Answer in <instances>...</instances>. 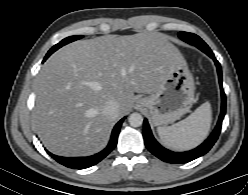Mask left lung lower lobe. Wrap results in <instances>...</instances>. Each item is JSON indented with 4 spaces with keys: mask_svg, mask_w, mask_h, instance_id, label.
Returning a JSON list of instances; mask_svg holds the SVG:
<instances>
[{
    "mask_svg": "<svg viewBox=\"0 0 248 195\" xmlns=\"http://www.w3.org/2000/svg\"><path fill=\"white\" fill-rule=\"evenodd\" d=\"M204 53H206L209 57H211L217 67L218 71V77H219V83H220V89H221V97H222V106H221V113L219 116L218 123L214 129V131L210 134L207 140H205L200 146L197 148L186 151V152H173L170 151L163 146H161L153 137L151 129L149 127V124L147 120H144V131H143V137L144 142L147 147V149L154 154L156 157L161 159L162 161L168 162V163H187L190 162L204 154H206L211 147L214 145L216 140L218 139V136L221 131L222 121L224 119L225 111H226V96L222 87V71L220 63L216 60L213 52L211 50H206L204 48H201Z\"/></svg>",
    "mask_w": 248,
    "mask_h": 195,
    "instance_id": "1",
    "label": "left lung lower lobe"
}]
</instances>
